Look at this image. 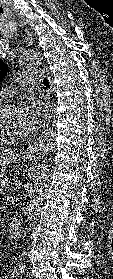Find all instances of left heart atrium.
<instances>
[{
	"instance_id": "39dd6f15",
	"label": "left heart atrium",
	"mask_w": 113,
	"mask_h": 279,
	"mask_svg": "<svg viewBox=\"0 0 113 279\" xmlns=\"http://www.w3.org/2000/svg\"><path fill=\"white\" fill-rule=\"evenodd\" d=\"M20 112L25 132H33L47 119L49 105L44 99L30 97L24 102Z\"/></svg>"
}]
</instances>
